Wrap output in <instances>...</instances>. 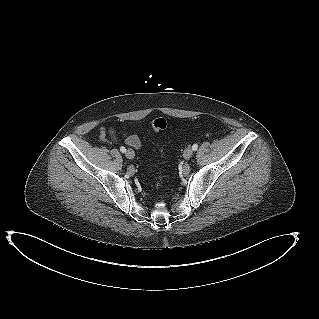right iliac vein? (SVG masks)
<instances>
[{
	"label": "right iliac vein",
	"instance_id": "1",
	"mask_svg": "<svg viewBox=\"0 0 319 319\" xmlns=\"http://www.w3.org/2000/svg\"><path fill=\"white\" fill-rule=\"evenodd\" d=\"M125 154L128 159H133L135 157V152L132 149H128Z\"/></svg>",
	"mask_w": 319,
	"mask_h": 319
}]
</instances>
